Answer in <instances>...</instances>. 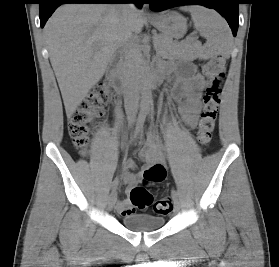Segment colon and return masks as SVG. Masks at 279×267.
I'll return each mask as SVG.
<instances>
[{
  "instance_id": "colon-1",
  "label": "colon",
  "mask_w": 279,
  "mask_h": 267,
  "mask_svg": "<svg viewBox=\"0 0 279 267\" xmlns=\"http://www.w3.org/2000/svg\"><path fill=\"white\" fill-rule=\"evenodd\" d=\"M226 65L221 57L210 59L203 66V74L207 78V88L203 96V109L197 128V141L201 146H206L212 139L215 129L219 106L221 102V82L225 77ZM115 101V95L110 82L98 85L94 91L86 97L68 118V131L72 142L81 153L86 152L89 142V133L93 121L102 115L104 108ZM164 171L155 166L147 167L143 171V185L134 187L130 191L129 199L138 209H147L152 206L157 215H166L173 209L170 198L165 197L153 201V197L147 190L152 183L161 182L164 179Z\"/></svg>"
}]
</instances>
